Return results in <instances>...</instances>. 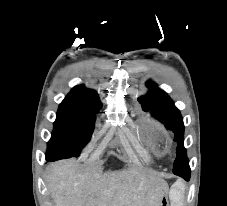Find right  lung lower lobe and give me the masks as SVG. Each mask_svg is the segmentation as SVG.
<instances>
[{
    "label": "right lung lower lobe",
    "mask_w": 227,
    "mask_h": 206,
    "mask_svg": "<svg viewBox=\"0 0 227 206\" xmlns=\"http://www.w3.org/2000/svg\"><path fill=\"white\" fill-rule=\"evenodd\" d=\"M46 160L47 161H54L52 158H50V157H46Z\"/></svg>",
    "instance_id": "obj_1"
}]
</instances>
